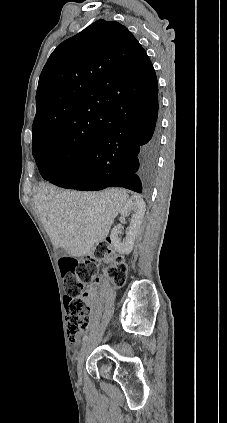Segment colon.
I'll return each instance as SVG.
<instances>
[{"label": "colon", "instance_id": "obj_1", "mask_svg": "<svg viewBox=\"0 0 227 423\" xmlns=\"http://www.w3.org/2000/svg\"><path fill=\"white\" fill-rule=\"evenodd\" d=\"M107 263L106 273L118 286L126 280L127 266L123 258L116 255L107 240L97 244L92 255L83 259H60L64 282V305L66 310L67 337L76 342L90 323V303L94 297L92 281L96 279L99 266Z\"/></svg>", "mask_w": 227, "mask_h": 423}]
</instances>
